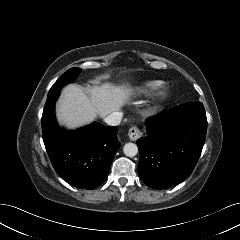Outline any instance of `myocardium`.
<instances>
[{
    "mask_svg": "<svg viewBox=\"0 0 240 240\" xmlns=\"http://www.w3.org/2000/svg\"><path fill=\"white\" fill-rule=\"evenodd\" d=\"M170 99V94L167 90L160 91L154 98V105L160 107Z\"/></svg>",
    "mask_w": 240,
    "mask_h": 240,
    "instance_id": "f54148a6",
    "label": "myocardium"
}]
</instances>
